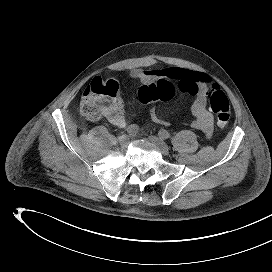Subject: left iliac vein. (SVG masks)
I'll return each mask as SVG.
<instances>
[{"mask_svg":"<svg viewBox=\"0 0 272 272\" xmlns=\"http://www.w3.org/2000/svg\"><path fill=\"white\" fill-rule=\"evenodd\" d=\"M150 142L155 145L158 150L163 154V155H168L169 154V148L168 145L161 140L160 138L156 136H149Z\"/></svg>","mask_w":272,"mask_h":272,"instance_id":"4c4485c4","label":"left iliac vein"}]
</instances>
